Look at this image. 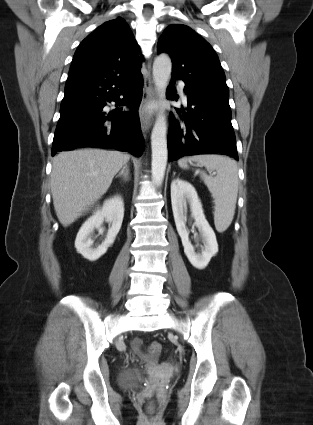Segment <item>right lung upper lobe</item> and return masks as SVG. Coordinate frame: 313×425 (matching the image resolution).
<instances>
[{"label":"right lung upper lobe","mask_w":313,"mask_h":425,"mask_svg":"<svg viewBox=\"0 0 313 425\" xmlns=\"http://www.w3.org/2000/svg\"><path fill=\"white\" fill-rule=\"evenodd\" d=\"M140 49L124 19L107 21L78 46L68 78L107 72L126 74L141 67Z\"/></svg>","instance_id":"cb5924a9"}]
</instances>
